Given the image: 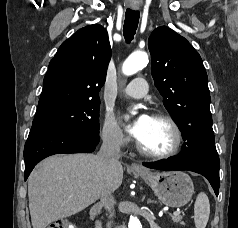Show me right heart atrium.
<instances>
[{"label": "right heart atrium", "mask_w": 238, "mask_h": 228, "mask_svg": "<svg viewBox=\"0 0 238 228\" xmlns=\"http://www.w3.org/2000/svg\"><path fill=\"white\" fill-rule=\"evenodd\" d=\"M101 139L105 144L113 147H123L127 142L115 116L111 112H107L104 116Z\"/></svg>", "instance_id": "d8ad5b80"}]
</instances>
